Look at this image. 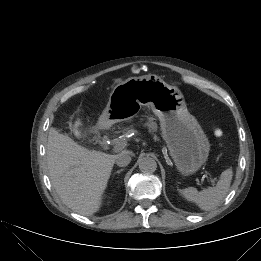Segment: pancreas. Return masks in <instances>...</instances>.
Wrapping results in <instances>:
<instances>
[{
  "label": "pancreas",
  "mask_w": 261,
  "mask_h": 261,
  "mask_svg": "<svg viewBox=\"0 0 261 261\" xmlns=\"http://www.w3.org/2000/svg\"><path fill=\"white\" fill-rule=\"evenodd\" d=\"M147 128L149 129V131L151 132H155L157 130V125L155 122L153 121H149L147 124H146Z\"/></svg>",
  "instance_id": "1"
}]
</instances>
